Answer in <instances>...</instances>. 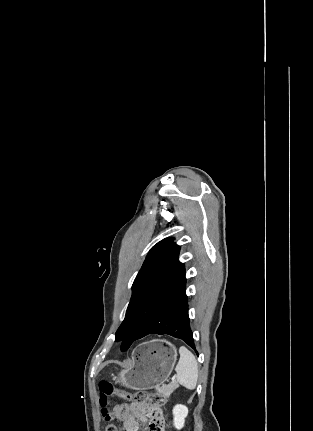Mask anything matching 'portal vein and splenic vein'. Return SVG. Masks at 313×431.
Returning a JSON list of instances; mask_svg holds the SVG:
<instances>
[{"label":"portal vein and splenic vein","instance_id":"portal-vein-and-splenic-vein-1","mask_svg":"<svg viewBox=\"0 0 313 431\" xmlns=\"http://www.w3.org/2000/svg\"><path fill=\"white\" fill-rule=\"evenodd\" d=\"M175 378H176V376H173L172 381H174V380H175Z\"/></svg>","mask_w":313,"mask_h":431}]
</instances>
